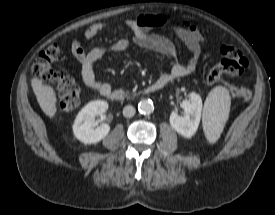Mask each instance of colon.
Returning <instances> with one entry per match:
<instances>
[{"mask_svg": "<svg viewBox=\"0 0 275 215\" xmlns=\"http://www.w3.org/2000/svg\"><path fill=\"white\" fill-rule=\"evenodd\" d=\"M219 50L222 60L206 75V81L211 85L220 83L222 75H241L248 66L247 59L238 48L221 45ZM63 57L61 48L57 44H52L40 53L32 66V71L38 78L54 85L58 94V109L62 112H70L80 104L81 88L71 77L52 69V65L61 61ZM231 92L236 98L243 101L249 100L252 95L251 90L245 87L232 88Z\"/></svg>", "mask_w": 275, "mask_h": 215, "instance_id": "1", "label": "colon"}]
</instances>
